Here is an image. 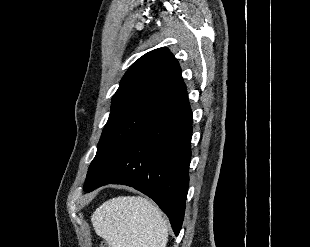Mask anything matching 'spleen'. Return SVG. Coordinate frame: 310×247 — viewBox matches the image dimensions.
Listing matches in <instances>:
<instances>
[{
    "label": "spleen",
    "mask_w": 310,
    "mask_h": 247,
    "mask_svg": "<svg viewBox=\"0 0 310 247\" xmlns=\"http://www.w3.org/2000/svg\"><path fill=\"white\" fill-rule=\"evenodd\" d=\"M95 232L109 247H166L168 225L157 206L139 196L104 202L91 217Z\"/></svg>",
    "instance_id": "obj_1"
}]
</instances>
